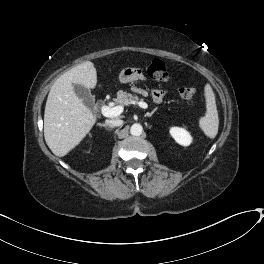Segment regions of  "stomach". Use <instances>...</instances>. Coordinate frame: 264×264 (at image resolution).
Instances as JSON below:
<instances>
[{"mask_svg": "<svg viewBox=\"0 0 264 264\" xmlns=\"http://www.w3.org/2000/svg\"><path fill=\"white\" fill-rule=\"evenodd\" d=\"M142 77L143 74L139 68L126 67L120 72L119 81L121 83H132Z\"/></svg>", "mask_w": 264, "mask_h": 264, "instance_id": "0dacf381", "label": "stomach"}]
</instances>
